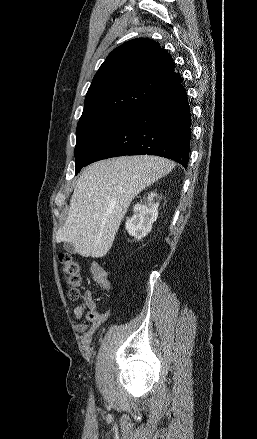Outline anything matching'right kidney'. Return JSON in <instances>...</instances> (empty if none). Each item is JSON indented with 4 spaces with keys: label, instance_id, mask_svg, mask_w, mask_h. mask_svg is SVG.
Segmentation results:
<instances>
[{
    "label": "right kidney",
    "instance_id": "ca27d5eb",
    "mask_svg": "<svg viewBox=\"0 0 257 439\" xmlns=\"http://www.w3.org/2000/svg\"><path fill=\"white\" fill-rule=\"evenodd\" d=\"M156 193L151 192L148 195L147 203H137L133 207V215L127 219L125 227L129 235L137 240H141L152 230V224L158 217L159 202H154Z\"/></svg>",
    "mask_w": 257,
    "mask_h": 439
}]
</instances>
